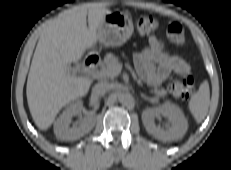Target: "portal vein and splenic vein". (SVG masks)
<instances>
[{"instance_id":"18ae733b","label":"portal vein and splenic vein","mask_w":231,"mask_h":170,"mask_svg":"<svg viewBox=\"0 0 231 170\" xmlns=\"http://www.w3.org/2000/svg\"><path fill=\"white\" fill-rule=\"evenodd\" d=\"M122 69V65L121 64H117V65H113L109 68V70L106 71H99L97 73L98 77H111L114 78L115 76H117Z\"/></svg>"}]
</instances>
